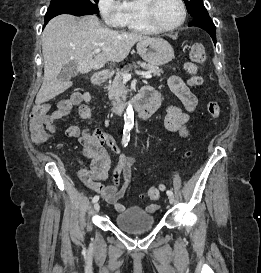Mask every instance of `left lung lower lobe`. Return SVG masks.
Masks as SVG:
<instances>
[{
  "instance_id": "obj_1",
  "label": "left lung lower lobe",
  "mask_w": 261,
  "mask_h": 273,
  "mask_svg": "<svg viewBox=\"0 0 261 273\" xmlns=\"http://www.w3.org/2000/svg\"><path fill=\"white\" fill-rule=\"evenodd\" d=\"M188 26H196L206 30L216 44V28L208 13L195 17Z\"/></svg>"
}]
</instances>
